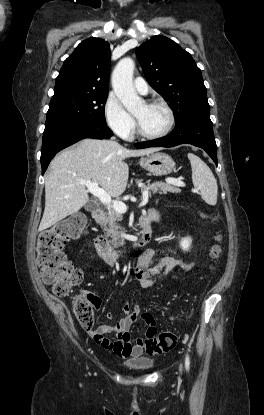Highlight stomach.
I'll return each instance as SVG.
<instances>
[{"label":"stomach","instance_id":"obj_1","mask_svg":"<svg viewBox=\"0 0 264 415\" xmlns=\"http://www.w3.org/2000/svg\"><path fill=\"white\" fill-rule=\"evenodd\" d=\"M139 164L142 168L155 176H165L175 169V162L166 153L155 152L140 159Z\"/></svg>","mask_w":264,"mask_h":415}]
</instances>
